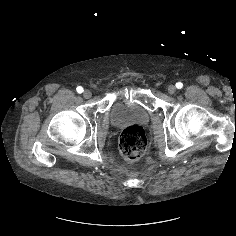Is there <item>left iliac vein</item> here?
Instances as JSON below:
<instances>
[{"instance_id": "obj_1", "label": "left iliac vein", "mask_w": 236, "mask_h": 236, "mask_svg": "<svg viewBox=\"0 0 236 236\" xmlns=\"http://www.w3.org/2000/svg\"><path fill=\"white\" fill-rule=\"evenodd\" d=\"M168 92L170 94H174L176 92V87L174 85H169L168 86Z\"/></svg>"}]
</instances>
